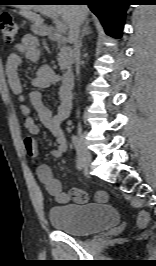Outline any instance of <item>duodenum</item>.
Wrapping results in <instances>:
<instances>
[{
    "label": "duodenum",
    "instance_id": "410a0bca",
    "mask_svg": "<svg viewBox=\"0 0 156 266\" xmlns=\"http://www.w3.org/2000/svg\"><path fill=\"white\" fill-rule=\"evenodd\" d=\"M45 35L51 41H62V40H64V37L62 36V34L58 30L53 28V27H47L45 29ZM73 82H74V75H73L72 71L67 70L62 75L63 88L66 91L70 92L72 87H73Z\"/></svg>",
    "mask_w": 156,
    "mask_h": 266
}]
</instances>
